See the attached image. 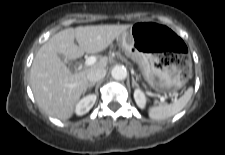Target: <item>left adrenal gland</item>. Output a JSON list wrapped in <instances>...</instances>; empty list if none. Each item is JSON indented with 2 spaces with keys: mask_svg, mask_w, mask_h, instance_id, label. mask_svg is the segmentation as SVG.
<instances>
[{
  "mask_svg": "<svg viewBox=\"0 0 225 155\" xmlns=\"http://www.w3.org/2000/svg\"><path fill=\"white\" fill-rule=\"evenodd\" d=\"M135 86L139 87L137 82H136V80H135V78L132 76V87H135Z\"/></svg>",
  "mask_w": 225,
  "mask_h": 155,
  "instance_id": "a2214340",
  "label": "left adrenal gland"
}]
</instances>
